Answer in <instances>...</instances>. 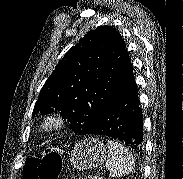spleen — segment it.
<instances>
[{
  "label": "spleen",
  "instance_id": "1",
  "mask_svg": "<svg viewBox=\"0 0 183 179\" xmlns=\"http://www.w3.org/2000/svg\"><path fill=\"white\" fill-rule=\"evenodd\" d=\"M106 146L108 149L106 168L111 177H122L134 170L135 159L125 146L112 140H108Z\"/></svg>",
  "mask_w": 183,
  "mask_h": 179
}]
</instances>
